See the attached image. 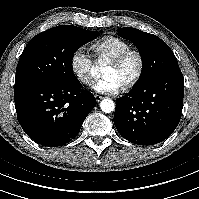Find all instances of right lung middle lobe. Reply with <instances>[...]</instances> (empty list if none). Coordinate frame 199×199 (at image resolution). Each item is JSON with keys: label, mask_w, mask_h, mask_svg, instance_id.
<instances>
[{"label": "right lung middle lobe", "mask_w": 199, "mask_h": 199, "mask_svg": "<svg viewBox=\"0 0 199 199\" xmlns=\"http://www.w3.org/2000/svg\"><path fill=\"white\" fill-rule=\"evenodd\" d=\"M99 35L76 26L61 25L39 33L31 39L21 54L15 84L29 80L68 82L72 74L74 53Z\"/></svg>", "instance_id": "right-lung-middle-lobe-1"}]
</instances>
